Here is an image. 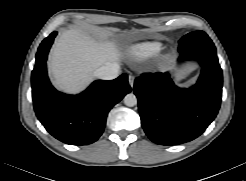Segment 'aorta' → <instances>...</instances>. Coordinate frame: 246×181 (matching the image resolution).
<instances>
[{"mask_svg": "<svg viewBox=\"0 0 246 181\" xmlns=\"http://www.w3.org/2000/svg\"><path fill=\"white\" fill-rule=\"evenodd\" d=\"M123 101H124V104L128 107H133V106L137 105V97L133 93L127 94L124 97Z\"/></svg>", "mask_w": 246, "mask_h": 181, "instance_id": "aorta-1", "label": "aorta"}]
</instances>
